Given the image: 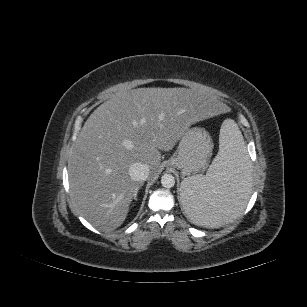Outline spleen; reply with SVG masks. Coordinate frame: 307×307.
I'll return each mask as SVG.
<instances>
[{
  "label": "spleen",
  "mask_w": 307,
  "mask_h": 307,
  "mask_svg": "<svg viewBox=\"0 0 307 307\" xmlns=\"http://www.w3.org/2000/svg\"><path fill=\"white\" fill-rule=\"evenodd\" d=\"M250 192V158L237 124L227 119L220 129L218 154L207 173L181 182V203L194 223L217 228L241 214Z\"/></svg>",
  "instance_id": "3e777b00"
}]
</instances>
